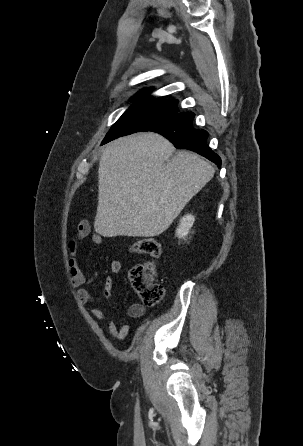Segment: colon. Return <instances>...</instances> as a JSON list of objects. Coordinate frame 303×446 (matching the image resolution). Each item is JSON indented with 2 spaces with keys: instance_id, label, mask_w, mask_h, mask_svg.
I'll use <instances>...</instances> for the list:
<instances>
[{
  "instance_id": "obj_1",
  "label": "colon",
  "mask_w": 303,
  "mask_h": 446,
  "mask_svg": "<svg viewBox=\"0 0 303 446\" xmlns=\"http://www.w3.org/2000/svg\"><path fill=\"white\" fill-rule=\"evenodd\" d=\"M129 251L157 259L161 256L162 247L153 238H141L130 247ZM154 277L155 271L152 263L138 264L132 268L129 274L132 288L146 305L158 304L164 296L163 287L155 282Z\"/></svg>"
}]
</instances>
